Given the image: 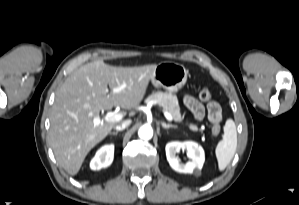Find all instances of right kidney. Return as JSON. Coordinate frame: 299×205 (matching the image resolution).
<instances>
[{
    "label": "right kidney",
    "mask_w": 299,
    "mask_h": 205,
    "mask_svg": "<svg viewBox=\"0 0 299 205\" xmlns=\"http://www.w3.org/2000/svg\"><path fill=\"white\" fill-rule=\"evenodd\" d=\"M113 157L114 145H105L96 152L94 158L90 162V168L92 170L106 168L112 163Z\"/></svg>",
    "instance_id": "1"
}]
</instances>
